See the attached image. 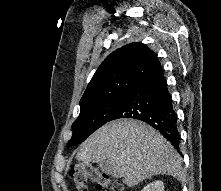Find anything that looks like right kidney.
Masks as SVG:
<instances>
[{"label":"right kidney","mask_w":221,"mask_h":191,"mask_svg":"<svg viewBox=\"0 0 221 191\" xmlns=\"http://www.w3.org/2000/svg\"><path fill=\"white\" fill-rule=\"evenodd\" d=\"M141 191H164V184L162 181L158 180L147 184Z\"/></svg>","instance_id":"ca27d5eb"}]
</instances>
